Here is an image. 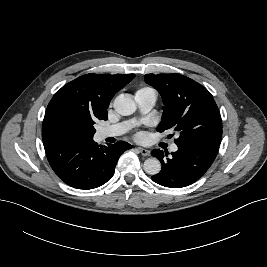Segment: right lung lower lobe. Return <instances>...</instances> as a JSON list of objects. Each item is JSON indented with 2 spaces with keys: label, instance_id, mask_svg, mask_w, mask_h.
<instances>
[{
  "label": "right lung lower lobe",
  "instance_id": "obj_1",
  "mask_svg": "<svg viewBox=\"0 0 267 267\" xmlns=\"http://www.w3.org/2000/svg\"><path fill=\"white\" fill-rule=\"evenodd\" d=\"M42 139L49 164L57 176L67 185L85 190L106 183L113 176L121 154L132 148L124 141L103 147L93 138L46 136Z\"/></svg>",
  "mask_w": 267,
  "mask_h": 267
}]
</instances>
